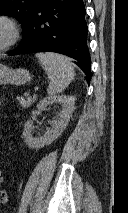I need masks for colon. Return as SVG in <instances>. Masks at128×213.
<instances>
[{
	"label": "colon",
	"instance_id": "1",
	"mask_svg": "<svg viewBox=\"0 0 128 213\" xmlns=\"http://www.w3.org/2000/svg\"><path fill=\"white\" fill-rule=\"evenodd\" d=\"M4 178L2 176V172L0 170V204H4L7 201L8 195L7 191L3 186Z\"/></svg>",
	"mask_w": 128,
	"mask_h": 213
}]
</instances>
